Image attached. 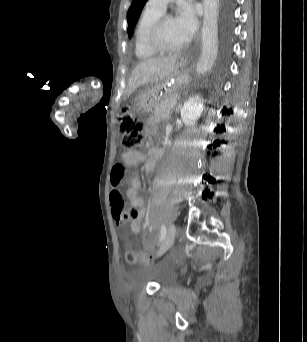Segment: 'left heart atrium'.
<instances>
[{
	"mask_svg": "<svg viewBox=\"0 0 307 342\" xmlns=\"http://www.w3.org/2000/svg\"><path fill=\"white\" fill-rule=\"evenodd\" d=\"M176 28L182 40L190 42L196 34L198 22L191 9L184 10L175 20Z\"/></svg>",
	"mask_w": 307,
	"mask_h": 342,
	"instance_id": "39dd6f15",
	"label": "left heart atrium"
}]
</instances>
